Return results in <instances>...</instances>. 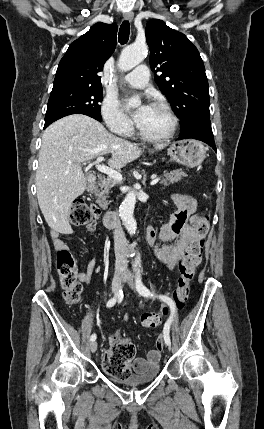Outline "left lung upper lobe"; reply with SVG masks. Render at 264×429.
Returning a JSON list of instances; mask_svg holds the SVG:
<instances>
[{
  "label": "left lung upper lobe",
  "mask_w": 264,
  "mask_h": 429,
  "mask_svg": "<svg viewBox=\"0 0 264 429\" xmlns=\"http://www.w3.org/2000/svg\"><path fill=\"white\" fill-rule=\"evenodd\" d=\"M150 65L161 92L181 121V134L199 122L210 121L208 81L197 48L182 33L159 19L147 22Z\"/></svg>",
  "instance_id": "left-lung-upper-lobe-1"
}]
</instances>
